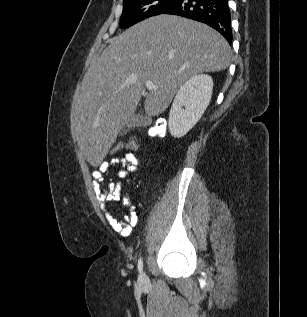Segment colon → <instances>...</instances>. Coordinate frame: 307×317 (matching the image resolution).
<instances>
[{
  "instance_id": "colon-1",
  "label": "colon",
  "mask_w": 307,
  "mask_h": 317,
  "mask_svg": "<svg viewBox=\"0 0 307 317\" xmlns=\"http://www.w3.org/2000/svg\"><path fill=\"white\" fill-rule=\"evenodd\" d=\"M167 122L165 119H157L149 129V135L154 139H163L166 134ZM138 140L131 135L127 142L114 144L109 150L111 157L121 156L125 153H134L138 149Z\"/></svg>"
}]
</instances>
